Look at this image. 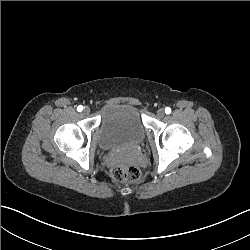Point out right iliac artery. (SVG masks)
<instances>
[{
  "label": "right iliac artery",
  "mask_w": 250,
  "mask_h": 250,
  "mask_svg": "<svg viewBox=\"0 0 250 250\" xmlns=\"http://www.w3.org/2000/svg\"><path fill=\"white\" fill-rule=\"evenodd\" d=\"M83 110V106L82 105H79L78 107H77V111L78 112H81Z\"/></svg>",
  "instance_id": "right-iliac-artery-1"
}]
</instances>
